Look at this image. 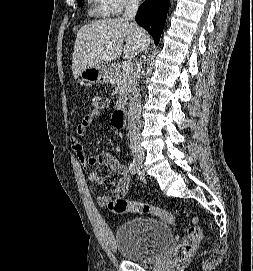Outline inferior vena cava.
Returning <instances> with one entry per match:
<instances>
[{"label":"inferior vena cava","instance_id":"obj_1","mask_svg":"<svg viewBox=\"0 0 253 271\" xmlns=\"http://www.w3.org/2000/svg\"><path fill=\"white\" fill-rule=\"evenodd\" d=\"M139 4L140 0H129L125 7L122 19L126 21L133 20L137 13ZM141 64V60L138 61L136 68V81L134 82L131 90L132 95L129 103L128 112L129 141L133 153L142 152V147L140 143L141 100L138 88V79L140 78Z\"/></svg>","mask_w":253,"mask_h":271}]
</instances>
